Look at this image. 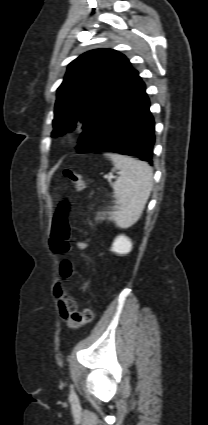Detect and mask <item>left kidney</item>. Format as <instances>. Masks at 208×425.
Returning a JSON list of instances; mask_svg holds the SVG:
<instances>
[{
    "label": "left kidney",
    "mask_w": 208,
    "mask_h": 425,
    "mask_svg": "<svg viewBox=\"0 0 208 425\" xmlns=\"http://www.w3.org/2000/svg\"><path fill=\"white\" fill-rule=\"evenodd\" d=\"M111 250L117 254H127L132 250V242L126 236L120 235L114 240Z\"/></svg>",
    "instance_id": "1"
}]
</instances>
